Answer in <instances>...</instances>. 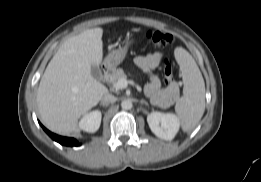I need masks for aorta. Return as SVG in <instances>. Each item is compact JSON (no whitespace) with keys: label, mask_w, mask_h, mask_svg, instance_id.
<instances>
[{"label":"aorta","mask_w":261,"mask_h":182,"mask_svg":"<svg viewBox=\"0 0 261 182\" xmlns=\"http://www.w3.org/2000/svg\"><path fill=\"white\" fill-rule=\"evenodd\" d=\"M121 107L124 110H129L132 108V102L130 100H123L121 103Z\"/></svg>","instance_id":"762f6f07"}]
</instances>
